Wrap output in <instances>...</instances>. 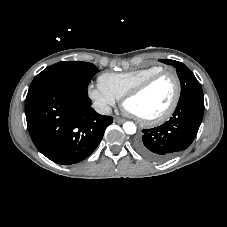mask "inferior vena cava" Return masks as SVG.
Instances as JSON below:
<instances>
[{
	"mask_svg": "<svg viewBox=\"0 0 227 227\" xmlns=\"http://www.w3.org/2000/svg\"><path fill=\"white\" fill-rule=\"evenodd\" d=\"M96 111H97L99 114H102V115H109V114H111L112 109H111L110 106H107V105H100V106H97V107H96Z\"/></svg>",
	"mask_w": 227,
	"mask_h": 227,
	"instance_id": "obj_1",
	"label": "inferior vena cava"
}]
</instances>
